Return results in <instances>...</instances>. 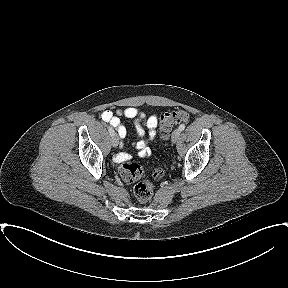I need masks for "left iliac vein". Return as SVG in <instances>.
I'll return each mask as SVG.
<instances>
[{
    "mask_svg": "<svg viewBox=\"0 0 288 288\" xmlns=\"http://www.w3.org/2000/svg\"><path fill=\"white\" fill-rule=\"evenodd\" d=\"M180 133H181V131L179 129H176V130L173 131L172 137H171V141L173 143H176L178 141V139L180 137Z\"/></svg>",
    "mask_w": 288,
    "mask_h": 288,
    "instance_id": "1",
    "label": "left iliac vein"
}]
</instances>
